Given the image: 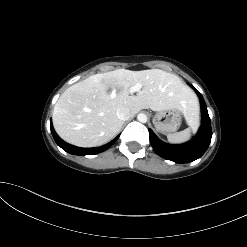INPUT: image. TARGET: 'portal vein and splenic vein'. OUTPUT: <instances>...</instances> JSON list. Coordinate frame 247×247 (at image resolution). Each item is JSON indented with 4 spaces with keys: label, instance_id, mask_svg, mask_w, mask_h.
<instances>
[{
    "label": "portal vein and splenic vein",
    "instance_id": "obj_1",
    "mask_svg": "<svg viewBox=\"0 0 247 247\" xmlns=\"http://www.w3.org/2000/svg\"><path fill=\"white\" fill-rule=\"evenodd\" d=\"M141 88H142V84L137 83L129 89V93L133 94L134 92H139Z\"/></svg>",
    "mask_w": 247,
    "mask_h": 247
}]
</instances>
